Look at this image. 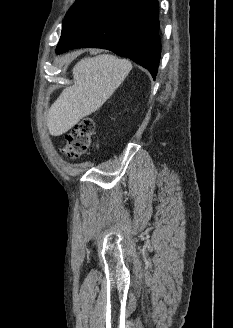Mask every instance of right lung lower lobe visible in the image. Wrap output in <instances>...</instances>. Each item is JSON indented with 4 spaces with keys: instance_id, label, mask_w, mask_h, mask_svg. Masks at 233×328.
<instances>
[{
    "instance_id": "obj_1",
    "label": "right lung lower lobe",
    "mask_w": 233,
    "mask_h": 328,
    "mask_svg": "<svg viewBox=\"0 0 233 328\" xmlns=\"http://www.w3.org/2000/svg\"><path fill=\"white\" fill-rule=\"evenodd\" d=\"M157 0H92L67 16L57 53L96 47L128 57L154 76L161 54Z\"/></svg>"
}]
</instances>
